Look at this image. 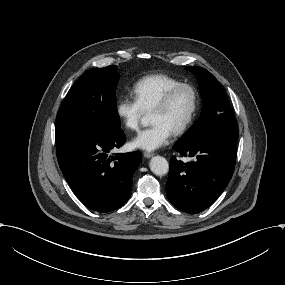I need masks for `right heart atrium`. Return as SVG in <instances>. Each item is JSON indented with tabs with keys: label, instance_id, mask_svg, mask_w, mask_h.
Masks as SVG:
<instances>
[{
	"label": "right heart atrium",
	"instance_id": "d8ad5b80",
	"mask_svg": "<svg viewBox=\"0 0 285 285\" xmlns=\"http://www.w3.org/2000/svg\"><path fill=\"white\" fill-rule=\"evenodd\" d=\"M118 115L127 127L136 129L145 115V110L133 91L126 92L119 100Z\"/></svg>",
	"mask_w": 285,
	"mask_h": 285
}]
</instances>
